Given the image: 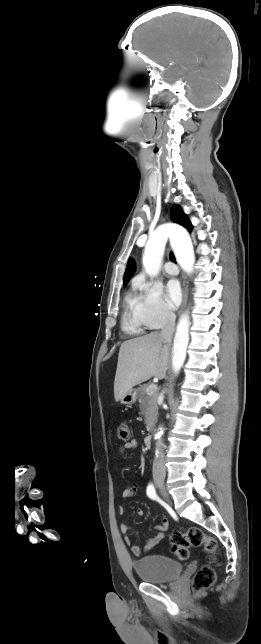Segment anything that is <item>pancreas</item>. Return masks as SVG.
I'll use <instances>...</instances> for the list:
<instances>
[{"label":"pancreas","mask_w":261,"mask_h":644,"mask_svg":"<svg viewBox=\"0 0 261 644\" xmlns=\"http://www.w3.org/2000/svg\"><path fill=\"white\" fill-rule=\"evenodd\" d=\"M148 386L149 385L144 384L138 388V397H139V403H140L139 407H140L141 413L145 416L147 431H150L157 420L158 392L156 390L153 394L149 395L146 392V389Z\"/></svg>","instance_id":"1"}]
</instances>
